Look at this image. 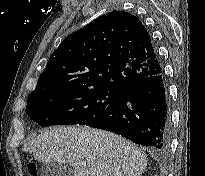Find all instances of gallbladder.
<instances>
[{
    "label": "gallbladder",
    "instance_id": "1",
    "mask_svg": "<svg viewBox=\"0 0 205 176\" xmlns=\"http://www.w3.org/2000/svg\"><path fill=\"white\" fill-rule=\"evenodd\" d=\"M39 173L40 176H72V169L68 164L50 162L44 163Z\"/></svg>",
    "mask_w": 205,
    "mask_h": 176
}]
</instances>
